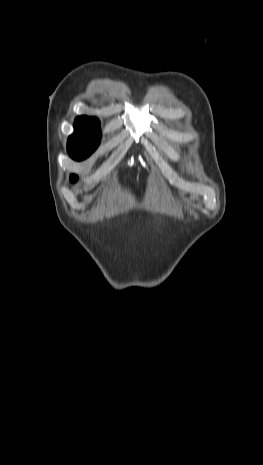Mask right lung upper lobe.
Listing matches in <instances>:
<instances>
[{
	"instance_id": "1",
	"label": "right lung upper lobe",
	"mask_w": 263,
	"mask_h": 465,
	"mask_svg": "<svg viewBox=\"0 0 263 465\" xmlns=\"http://www.w3.org/2000/svg\"><path fill=\"white\" fill-rule=\"evenodd\" d=\"M76 120L79 121H88V122H93V123H99V120L93 117H88V116H79L76 118Z\"/></svg>"
}]
</instances>
